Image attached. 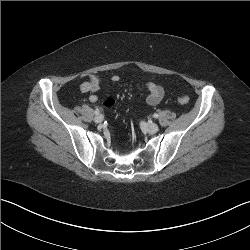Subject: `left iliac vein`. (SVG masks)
I'll return each instance as SVG.
<instances>
[{
    "label": "left iliac vein",
    "mask_w": 250,
    "mask_h": 250,
    "mask_svg": "<svg viewBox=\"0 0 250 250\" xmlns=\"http://www.w3.org/2000/svg\"><path fill=\"white\" fill-rule=\"evenodd\" d=\"M144 127L146 131L150 134H154L159 130V126L155 123H146Z\"/></svg>",
    "instance_id": "4c4485c4"
}]
</instances>
